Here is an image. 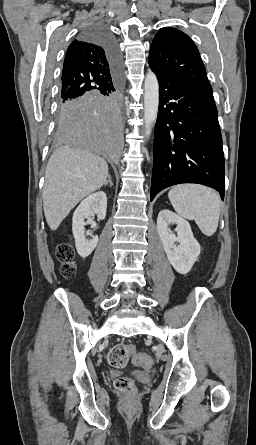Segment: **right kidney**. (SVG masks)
I'll use <instances>...</instances> for the list:
<instances>
[{
	"label": "right kidney",
	"instance_id": "1",
	"mask_svg": "<svg viewBox=\"0 0 256 445\" xmlns=\"http://www.w3.org/2000/svg\"><path fill=\"white\" fill-rule=\"evenodd\" d=\"M107 209V197L103 191L95 192L87 196L79 206L76 208L72 219V232L75 238V246L78 254L82 258L88 257L96 248L98 243V236L93 235L92 232L87 231L86 235L91 236L86 239L85 219L97 215L100 220L105 219Z\"/></svg>",
	"mask_w": 256,
	"mask_h": 445
}]
</instances>
